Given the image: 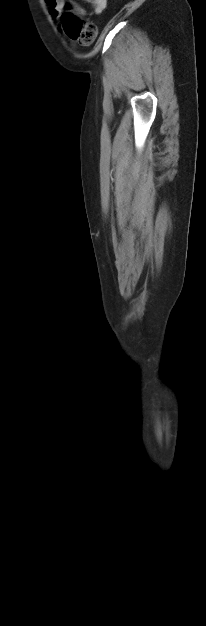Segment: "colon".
<instances>
[{
    "mask_svg": "<svg viewBox=\"0 0 206 626\" xmlns=\"http://www.w3.org/2000/svg\"><path fill=\"white\" fill-rule=\"evenodd\" d=\"M62 23L67 35L80 44L88 46L93 43L97 35V27L90 21H84L75 14L66 12L62 16Z\"/></svg>",
    "mask_w": 206,
    "mask_h": 626,
    "instance_id": "obj_1",
    "label": "colon"
}]
</instances>
